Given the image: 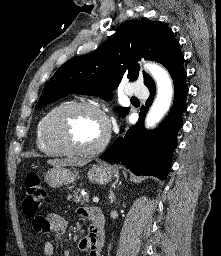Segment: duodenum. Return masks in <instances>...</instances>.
<instances>
[{
  "instance_id": "1",
  "label": "duodenum",
  "mask_w": 221,
  "mask_h": 256,
  "mask_svg": "<svg viewBox=\"0 0 221 256\" xmlns=\"http://www.w3.org/2000/svg\"><path fill=\"white\" fill-rule=\"evenodd\" d=\"M94 232L95 235L103 239L104 235V216L101 210H96L93 214Z\"/></svg>"
}]
</instances>
